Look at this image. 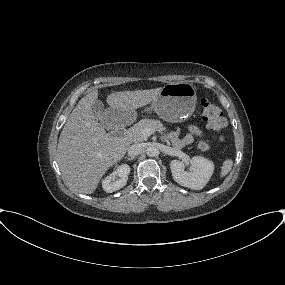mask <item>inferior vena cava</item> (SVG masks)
I'll list each match as a JSON object with an SVG mask.
<instances>
[{
    "mask_svg": "<svg viewBox=\"0 0 285 285\" xmlns=\"http://www.w3.org/2000/svg\"><path fill=\"white\" fill-rule=\"evenodd\" d=\"M143 149L144 147L141 143L133 144L128 148V155L130 157L138 156L139 154L142 153Z\"/></svg>",
    "mask_w": 285,
    "mask_h": 285,
    "instance_id": "1",
    "label": "inferior vena cava"
}]
</instances>
